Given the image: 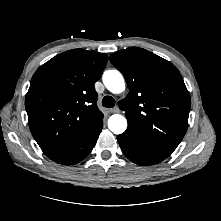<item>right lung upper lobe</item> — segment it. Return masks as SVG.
<instances>
[{
	"mask_svg": "<svg viewBox=\"0 0 221 221\" xmlns=\"http://www.w3.org/2000/svg\"><path fill=\"white\" fill-rule=\"evenodd\" d=\"M107 59L103 53L73 49L55 56L33 75L25 108L31 133L44 154L70 146L103 116L94 84Z\"/></svg>",
	"mask_w": 221,
	"mask_h": 221,
	"instance_id": "right-lung-upper-lobe-1",
	"label": "right lung upper lobe"
}]
</instances>
